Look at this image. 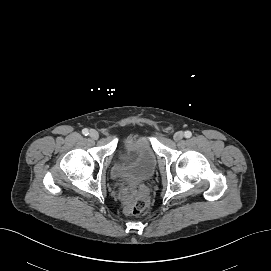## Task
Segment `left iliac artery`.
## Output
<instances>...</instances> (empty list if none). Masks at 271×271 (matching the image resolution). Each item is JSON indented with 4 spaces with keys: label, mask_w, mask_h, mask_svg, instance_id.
Wrapping results in <instances>:
<instances>
[{
    "label": "left iliac artery",
    "mask_w": 271,
    "mask_h": 271,
    "mask_svg": "<svg viewBox=\"0 0 271 271\" xmlns=\"http://www.w3.org/2000/svg\"><path fill=\"white\" fill-rule=\"evenodd\" d=\"M184 136H185L186 138H190V137L192 136L191 131H185Z\"/></svg>",
    "instance_id": "obj_1"
}]
</instances>
